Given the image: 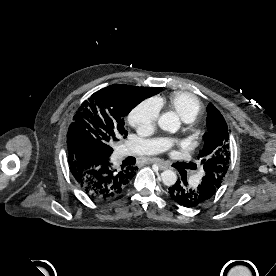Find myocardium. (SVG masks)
Instances as JSON below:
<instances>
[{"label":"myocardium","instance_id":"obj_1","mask_svg":"<svg viewBox=\"0 0 276 276\" xmlns=\"http://www.w3.org/2000/svg\"><path fill=\"white\" fill-rule=\"evenodd\" d=\"M194 131H195L194 126H192V127L190 128V133L192 134V133H194Z\"/></svg>","mask_w":276,"mask_h":276}]
</instances>
